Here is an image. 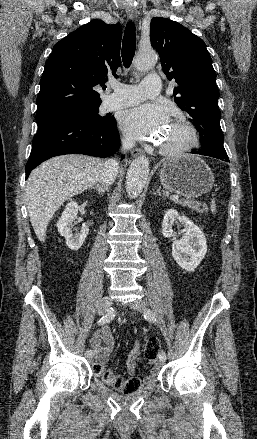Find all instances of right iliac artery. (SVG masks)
Wrapping results in <instances>:
<instances>
[{
    "label": "right iliac artery",
    "mask_w": 257,
    "mask_h": 439,
    "mask_svg": "<svg viewBox=\"0 0 257 439\" xmlns=\"http://www.w3.org/2000/svg\"><path fill=\"white\" fill-rule=\"evenodd\" d=\"M113 316H114L113 313L110 311L107 314H105L104 316H102L98 320L97 324L98 325H104L105 323L110 322L113 319ZM85 355H86V357H89V358L92 357L93 356L92 350L87 349L86 352H85Z\"/></svg>",
    "instance_id": "82829eb1"
}]
</instances>
